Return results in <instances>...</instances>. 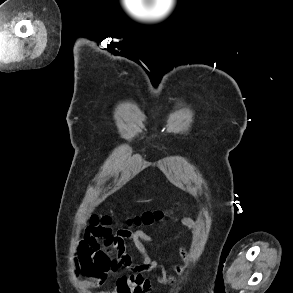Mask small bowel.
<instances>
[{
    "mask_svg": "<svg viewBox=\"0 0 293 293\" xmlns=\"http://www.w3.org/2000/svg\"><path fill=\"white\" fill-rule=\"evenodd\" d=\"M181 224L190 231L192 241L197 240V227L194 223L182 220ZM129 242L140 257V263L134 265L126 248ZM154 239L147 231H131L121 229L116 232L107 231L97 234L90 231L77 244V255L74 259V273L86 278L81 281L83 287H101L109 276H117L115 285L109 291L101 293H149L151 282L142 274L144 271H154L159 284L172 282L174 274L182 272L183 265L175 264L170 269L161 268L158 261L151 258L147 243ZM179 257L187 261L189 253L183 245L177 246ZM135 271V274L119 275L120 271Z\"/></svg>",
    "mask_w": 293,
    "mask_h": 293,
    "instance_id": "obj_1",
    "label": "small bowel"
}]
</instances>
